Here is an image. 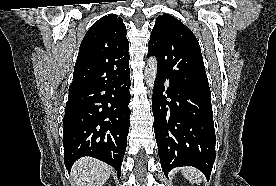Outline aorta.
<instances>
[{"label": "aorta", "instance_id": "762f6f07", "mask_svg": "<svg viewBox=\"0 0 276 186\" xmlns=\"http://www.w3.org/2000/svg\"><path fill=\"white\" fill-rule=\"evenodd\" d=\"M144 75L147 86L152 89L157 75V59L155 57L148 59Z\"/></svg>", "mask_w": 276, "mask_h": 186}]
</instances>
